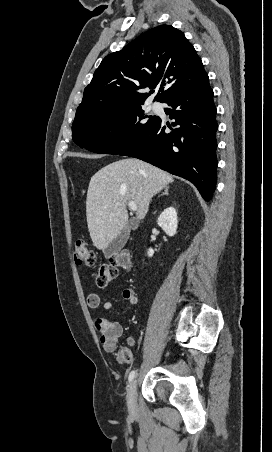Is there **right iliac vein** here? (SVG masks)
<instances>
[{
    "instance_id": "63e3f726",
    "label": "right iliac vein",
    "mask_w": 272,
    "mask_h": 452,
    "mask_svg": "<svg viewBox=\"0 0 272 452\" xmlns=\"http://www.w3.org/2000/svg\"><path fill=\"white\" fill-rule=\"evenodd\" d=\"M137 380L134 379L128 389V393H127V405H128V409L129 412L131 414H136L137 413Z\"/></svg>"
}]
</instances>
